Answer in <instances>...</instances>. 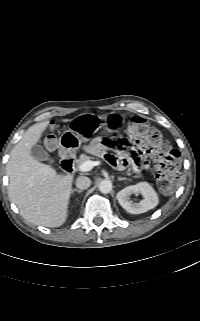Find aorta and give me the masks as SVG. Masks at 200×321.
Returning <instances> with one entry per match:
<instances>
[{"instance_id": "762f6f07", "label": "aorta", "mask_w": 200, "mask_h": 321, "mask_svg": "<svg viewBox=\"0 0 200 321\" xmlns=\"http://www.w3.org/2000/svg\"><path fill=\"white\" fill-rule=\"evenodd\" d=\"M112 190V182L110 180H102L99 183V191L103 194H107Z\"/></svg>"}]
</instances>
